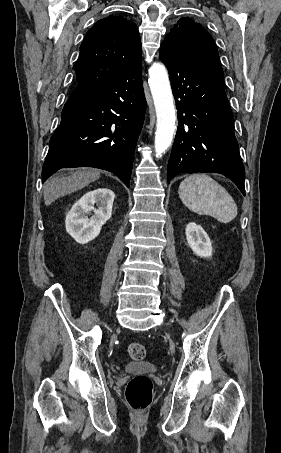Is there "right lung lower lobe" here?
<instances>
[{
    "label": "right lung lower lobe",
    "mask_w": 281,
    "mask_h": 453,
    "mask_svg": "<svg viewBox=\"0 0 281 453\" xmlns=\"http://www.w3.org/2000/svg\"><path fill=\"white\" fill-rule=\"evenodd\" d=\"M145 110L142 59L112 81L77 84L50 139L42 183L61 168L87 166L110 171L129 187Z\"/></svg>",
    "instance_id": "right-lung-lower-lobe-1"
}]
</instances>
